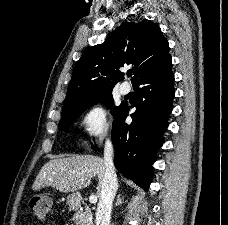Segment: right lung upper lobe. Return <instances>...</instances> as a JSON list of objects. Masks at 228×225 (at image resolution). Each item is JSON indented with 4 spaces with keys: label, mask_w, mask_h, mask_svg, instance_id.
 <instances>
[{
    "label": "right lung upper lobe",
    "mask_w": 228,
    "mask_h": 225,
    "mask_svg": "<svg viewBox=\"0 0 228 225\" xmlns=\"http://www.w3.org/2000/svg\"><path fill=\"white\" fill-rule=\"evenodd\" d=\"M168 51V41L156 23L123 22L102 44L88 48L77 61L63 107L111 92L123 80L124 73L119 69L126 65H134V86Z\"/></svg>",
    "instance_id": "cb5924a9"
}]
</instances>
